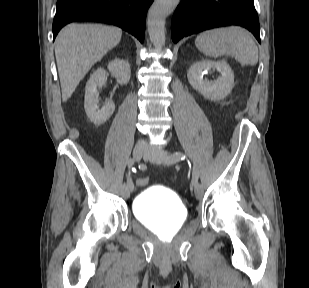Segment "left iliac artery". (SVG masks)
<instances>
[{
    "mask_svg": "<svg viewBox=\"0 0 309 288\" xmlns=\"http://www.w3.org/2000/svg\"><path fill=\"white\" fill-rule=\"evenodd\" d=\"M186 159V155L183 154L180 151H176L173 154H171V156L169 157V162L170 163H175L179 160H184ZM198 178H199V170L197 168V166H193V171H192V183H191V189L194 188L195 184L198 182Z\"/></svg>",
    "mask_w": 309,
    "mask_h": 288,
    "instance_id": "left-iliac-artery-1",
    "label": "left iliac artery"
}]
</instances>
